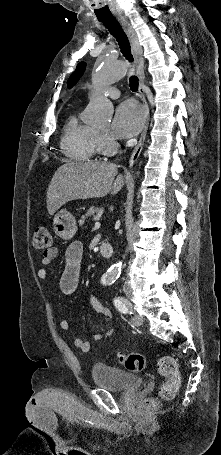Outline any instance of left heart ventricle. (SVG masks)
<instances>
[{"label": "left heart ventricle", "instance_id": "b2bd125f", "mask_svg": "<svg viewBox=\"0 0 221 455\" xmlns=\"http://www.w3.org/2000/svg\"><path fill=\"white\" fill-rule=\"evenodd\" d=\"M98 130H100V131H102V132H107V131H108V125L99 127Z\"/></svg>", "mask_w": 221, "mask_h": 455}]
</instances>
